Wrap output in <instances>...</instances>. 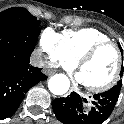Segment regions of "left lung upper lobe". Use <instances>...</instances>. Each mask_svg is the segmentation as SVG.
I'll list each match as a JSON object with an SVG mask.
<instances>
[{"label":"left lung upper lobe","mask_w":124,"mask_h":124,"mask_svg":"<svg viewBox=\"0 0 124 124\" xmlns=\"http://www.w3.org/2000/svg\"><path fill=\"white\" fill-rule=\"evenodd\" d=\"M118 46H119V48H120V50L122 51V47H121V45L120 44H118ZM122 72L120 73V76H122ZM117 85H119L120 87L122 86V80H120L118 83H117Z\"/></svg>","instance_id":"5c2ea615"}]
</instances>
